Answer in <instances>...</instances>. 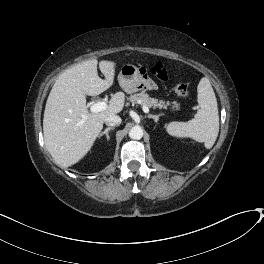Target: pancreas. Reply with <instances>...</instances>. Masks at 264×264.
Masks as SVG:
<instances>
[{"label": "pancreas", "mask_w": 264, "mask_h": 264, "mask_svg": "<svg viewBox=\"0 0 264 264\" xmlns=\"http://www.w3.org/2000/svg\"><path fill=\"white\" fill-rule=\"evenodd\" d=\"M128 100L132 104H140L142 107L147 106L148 108H167L168 106H172L173 110H178L180 106L176 101L170 103L169 101L165 102L164 100L149 97L145 91L130 95Z\"/></svg>", "instance_id": "pancreas-1"}]
</instances>
